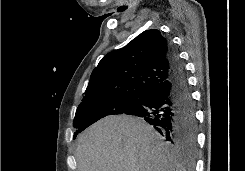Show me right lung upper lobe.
Wrapping results in <instances>:
<instances>
[{"instance_id":"cb5924a9","label":"right lung upper lobe","mask_w":245,"mask_h":171,"mask_svg":"<svg viewBox=\"0 0 245 171\" xmlns=\"http://www.w3.org/2000/svg\"><path fill=\"white\" fill-rule=\"evenodd\" d=\"M170 42L159 30L142 32L125 47L106 54L93 70L82 101L141 96L170 76Z\"/></svg>"}]
</instances>
